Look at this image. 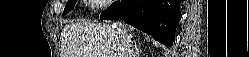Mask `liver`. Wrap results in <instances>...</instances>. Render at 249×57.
<instances>
[{"mask_svg":"<svg viewBox=\"0 0 249 57\" xmlns=\"http://www.w3.org/2000/svg\"><path fill=\"white\" fill-rule=\"evenodd\" d=\"M128 31L123 23L66 25L61 33L62 57H123L119 32Z\"/></svg>","mask_w":249,"mask_h":57,"instance_id":"liver-1","label":"liver"}]
</instances>
